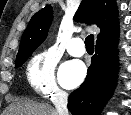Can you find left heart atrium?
<instances>
[{"mask_svg":"<svg viewBox=\"0 0 131 115\" xmlns=\"http://www.w3.org/2000/svg\"><path fill=\"white\" fill-rule=\"evenodd\" d=\"M85 75L86 69L81 62L69 61L61 67L59 79L65 88H74L83 81Z\"/></svg>","mask_w":131,"mask_h":115,"instance_id":"1","label":"left heart atrium"}]
</instances>
